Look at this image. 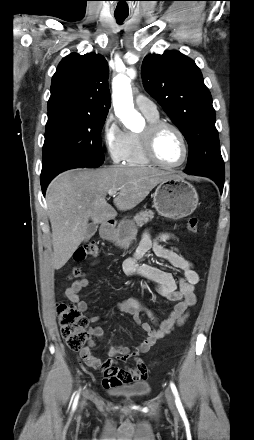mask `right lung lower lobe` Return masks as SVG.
<instances>
[{
    "label": "right lung lower lobe",
    "mask_w": 254,
    "mask_h": 440,
    "mask_svg": "<svg viewBox=\"0 0 254 440\" xmlns=\"http://www.w3.org/2000/svg\"><path fill=\"white\" fill-rule=\"evenodd\" d=\"M48 181H41V188H42V192H43V195L45 194V190H46V187H47V185H48Z\"/></svg>",
    "instance_id": "98d812e1"
}]
</instances>
